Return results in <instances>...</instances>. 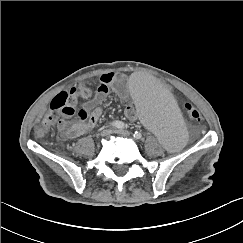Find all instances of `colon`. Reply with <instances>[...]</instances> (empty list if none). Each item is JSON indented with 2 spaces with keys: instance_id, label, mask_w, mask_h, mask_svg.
<instances>
[{
  "instance_id": "5ec220e1",
  "label": "colon",
  "mask_w": 243,
  "mask_h": 243,
  "mask_svg": "<svg viewBox=\"0 0 243 243\" xmlns=\"http://www.w3.org/2000/svg\"><path fill=\"white\" fill-rule=\"evenodd\" d=\"M91 96V91L87 86H79L57 94L51 101L49 109L43 119L42 124L38 128V134H44L58 119L59 115L73 114L79 99H87ZM182 112L195 123L203 120V114L189 102L181 105Z\"/></svg>"
}]
</instances>
